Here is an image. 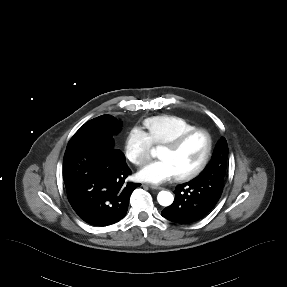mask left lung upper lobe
I'll use <instances>...</instances> for the list:
<instances>
[{
	"mask_svg": "<svg viewBox=\"0 0 287 287\" xmlns=\"http://www.w3.org/2000/svg\"><path fill=\"white\" fill-rule=\"evenodd\" d=\"M228 157V146L225 138H221L218 142L213 157L205 168V170L195 179L193 182L199 183L202 186L210 185L211 181L219 180L224 183V178L226 174Z\"/></svg>",
	"mask_w": 287,
	"mask_h": 287,
	"instance_id": "5c2ea615",
	"label": "left lung upper lobe"
}]
</instances>
